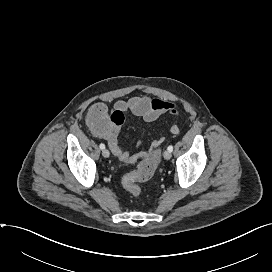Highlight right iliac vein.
I'll return each mask as SVG.
<instances>
[{
  "label": "right iliac vein",
  "mask_w": 272,
  "mask_h": 272,
  "mask_svg": "<svg viewBox=\"0 0 272 272\" xmlns=\"http://www.w3.org/2000/svg\"><path fill=\"white\" fill-rule=\"evenodd\" d=\"M102 155H103V157L108 158V157H109V155H110L109 150H107V149H103V151H102Z\"/></svg>",
  "instance_id": "obj_1"
}]
</instances>
